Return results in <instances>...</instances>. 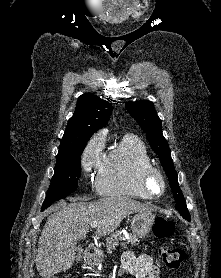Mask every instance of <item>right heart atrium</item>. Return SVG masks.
Here are the masks:
<instances>
[{
  "label": "right heart atrium",
  "instance_id": "1",
  "mask_svg": "<svg viewBox=\"0 0 221 278\" xmlns=\"http://www.w3.org/2000/svg\"><path fill=\"white\" fill-rule=\"evenodd\" d=\"M105 137L98 133L86 144L81 154V166L86 174H90L100 167L104 158Z\"/></svg>",
  "mask_w": 221,
  "mask_h": 278
}]
</instances>
